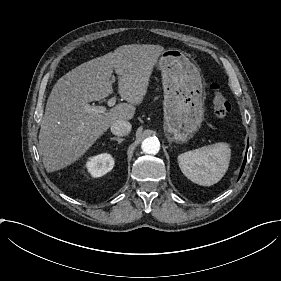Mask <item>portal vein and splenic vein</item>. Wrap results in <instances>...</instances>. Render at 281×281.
<instances>
[{"label":"portal vein and splenic vein","mask_w":281,"mask_h":281,"mask_svg":"<svg viewBox=\"0 0 281 281\" xmlns=\"http://www.w3.org/2000/svg\"><path fill=\"white\" fill-rule=\"evenodd\" d=\"M116 103V98L115 97H112L108 100L107 104L109 107H112L114 106ZM84 109L85 111L88 113V114H103L106 112V107L105 106H91L89 104H86L84 106Z\"/></svg>","instance_id":"portal-vein-and-splenic-vein-1"}]
</instances>
